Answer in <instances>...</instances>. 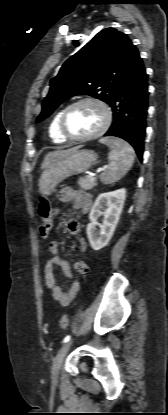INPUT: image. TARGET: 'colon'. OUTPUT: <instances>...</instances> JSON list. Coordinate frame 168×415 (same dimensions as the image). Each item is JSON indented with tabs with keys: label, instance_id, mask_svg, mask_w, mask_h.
<instances>
[{
	"label": "colon",
	"instance_id": "1",
	"mask_svg": "<svg viewBox=\"0 0 168 415\" xmlns=\"http://www.w3.org/2000/svg\"><path fill=\"white\" fill-rule=\"evenodd\" d=\"M39 214L41 216L42 222L40 226V231L42 235H47L51 229L53 222V211L50 207L49 201L46 198H42L39 205ZM69 325V319L67 315H63L60 319V327L62 329H67Z\"/></svg>",
	"mask_w": 168,
	"mask_h": 415
}]
</instances>
